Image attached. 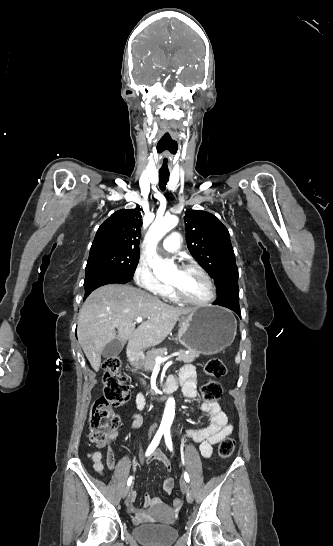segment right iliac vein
<instances>
[{
    "mask_svg": "<svg viewBox=\"0 0 333 546\" xmlns=\"http://www.w3.org/2000/svg\"><path fill=\"white\" fill-rule=\"evenodd\" d=\"M129 491H130V488H129V487H126V488L123 490V494H122L123 497H126L127 494L129 493Z\"/></svg>",
    "mask_w": 333,
    "mask_h": 546,
    "instance_id": "obj_1",
    "label": "right iliac vein"
}]
</instances>
